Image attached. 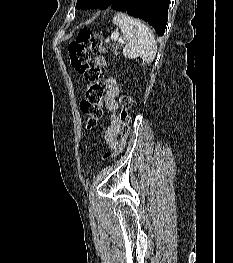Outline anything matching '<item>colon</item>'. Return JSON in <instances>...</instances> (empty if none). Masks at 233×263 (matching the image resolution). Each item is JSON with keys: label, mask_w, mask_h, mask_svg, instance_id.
<instances>
[{"label": "colon", "mask_w": 233, "mask_h": 263, "mask_svg": "<svg viewBox=\"0 0 233 263\" xmlns=\"http://www.w3.org/2000/svg\"><path fill=\"white\" fill-rule=\"evenodd\" d=\"M70 63L72 67L81 74L88 83L85 98L80 102V110L85 116L86 127L93 129L103 114L102 96L104 85L102 83L103 70L94 63L92 54H103L105 48L101 35L89 30L79 31L76 38L68 45ZM122 141L115 153L122 150L130 131V108L132 99L128 94L121 95L119 99ZM110 154L105 155L109 158Z\"/></svg>", "instance_id": "colon-1"}]
</instances>
